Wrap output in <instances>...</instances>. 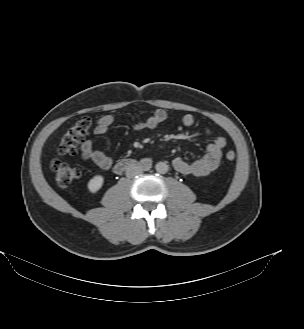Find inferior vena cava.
Listing matches in <instances>:
<instances>
[{"label": "inferior vena cava", "instance_id": "obj_1", "mask_svg": "<svg viewBox=\"0 0 304 329\" xmlns=\"http://www.w3.org/2000/svg\"><path fill=\"white\" fill-rule=\"evenodd\" d=\"M143 172V168L138 165H131L126 170V176L128 178H133Z\"/></svg>", "mask_w": 304, "mask_h": 329}]
</instances>
